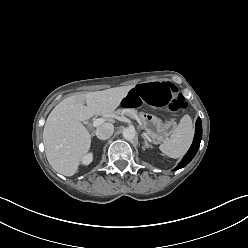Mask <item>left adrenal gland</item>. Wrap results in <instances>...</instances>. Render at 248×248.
<instances>
[{"label":"left adrenal gland","mask_w":248,"mask_h":248,"mask_svg":"<svg viewBox=\"0 0 248 248\" xmlns=\"http://www.w3.org/2000/svg\"><path fill=\"white\" fill-rule=\"evenodd\" d=\"M142 138L144 139V144L146 148H151V145L147 142L146 138L144 135H142Z\"/></svg>","instance_id":"a2214340"}]
</instances>
